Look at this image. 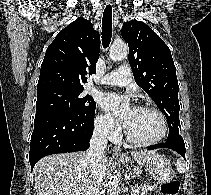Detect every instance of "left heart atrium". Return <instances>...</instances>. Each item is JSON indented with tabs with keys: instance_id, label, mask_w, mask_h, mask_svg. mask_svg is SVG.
I'll use <instances>...</instances> for the list:
<instances>
[{
	"instance_id": "obj_1",
	"label": "left heart atrium",
	"mask_w": 211,
	"mask_h": 195,
	"mask_svg": "<svg viewBox=\"0 0 211 195\" xmlns=\"http://www.w3.org/2000/svg\"><path fill=\"white\" fill-rule=\"evenodd\" d=\"M126 99L115 93L104 94L100 99L101 106L117 116L125 125L135 109L132 106L125 105Z\"/></svg>"
}]
</instances>
